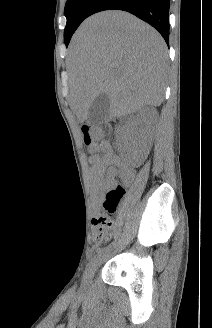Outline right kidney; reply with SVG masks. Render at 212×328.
I'll return each mask as SVG.
<instances>
[{
  "label": "right kidney",
  "instance_id": "1",
  "mask_svg": "<svg viewBox=\"0 0 212 328\" xmlns=\"http://www.w3.org/2000/svg\"><path fill=\"white\" fill-rule=\"evenodd\" d=\"M158 121V112L154 107H145L136 115H132L125 121V140H129L135 149L141 146L144 140H149ZM138 127H140L138 129ZM136 129H138L136 133Z\"/></svg>",
  "mask_w": 212,
  "mask_h": 328
}]
</instances>
